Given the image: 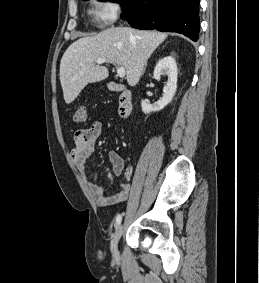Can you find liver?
<instances>
[{
  "label": "liver",
  "mask_w": 259,
  "mask_h": 283,
  "mask_svg": "<svg viewBox=\"0 0 259 283\" xmlns=\"http://www.w3.org/2000/svg\"><path fill=\"white\" fill-rule=\"evenodd\" d=\"M166 38V33L157 31L111 27L97 35L76 40L67 48L60 62L65 102H73L89 83L108 77V69L95 64L99 58L124 67L128 84L135 86L148 58Z\"/></svg>",
  "instance_id": "liver-1"
}]
</instances>
